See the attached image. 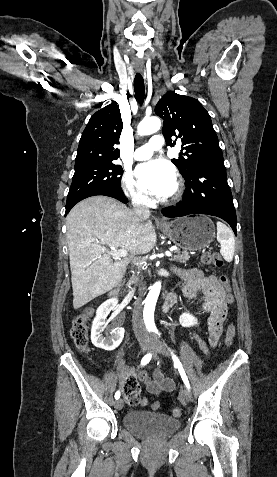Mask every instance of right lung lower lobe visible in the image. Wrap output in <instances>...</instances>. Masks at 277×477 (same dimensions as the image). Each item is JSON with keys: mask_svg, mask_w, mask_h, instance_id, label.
Listing matches in <instances>:
<instances>
[{"mask_svg": "<svg viewBox=\"0 0 277 477\" xmlns=\"http://www.w3.org/2000/svg\"><path fill=\"white\" fill-rule=\"evenodd\" d=\"M96 195H104V196H109V197H113L123 203H127L128 200L126 199L125 195L123 192L119 193V192H108V191H98V192H94V193H91L89 195H86L85 197H83L81 200L87 198V197H90V196H96ZM79 200V201H81ZM79 201H77L76 203H78ZM74 203L72 206L66 208V212H65V215H67L69 213V211L71 210V208L76 204Z\"/></svg>", "mask_w": 277, "mask_h": 477, "instance_id": "98d812e1", "label": "right lung lower lobe"}]
</instances>
